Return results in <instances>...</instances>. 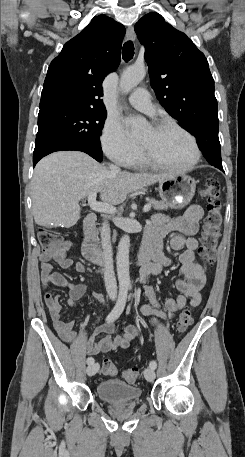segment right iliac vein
I'll return each instance as SVG.
<instances>
[{"mask_svg": "<svg viewBox=\"0 0 245 457\" xmlns=\"http://www.w3.org/2000/svg\"><path fill=\"white\" fill-rule=\"evenodd\" d=\"M98 369H99V364L98 363L89 364L88 367H87L88 376L95 375L97 373Z\"/></svg>", "mask_w": 245, "mask_h": 457, "instance_id": "obj_1", "label": "right iliac vein"}]
</instances>
